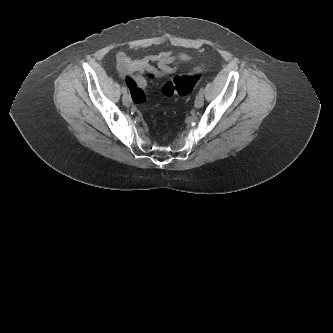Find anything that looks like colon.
Wrapping results in <instances>:
<instances>
[{
	"label": "colon",
	"instance_id": "1",
	"mask_svg": "<svg viewBox=\"0 0 333 333\" xmlns=\"http://www.w3.org/2000/svg\"><path fill=\"white\" fill-rule=\"evenodd\" d=\"M201 78L202 69H197L193 75L175 76L164 83L160 91L164 96H187L194 91Z\"/></svg>",
	"mask_w": 333,
	"mask_h": 333
}]
</instances>
